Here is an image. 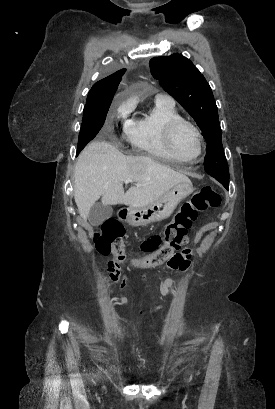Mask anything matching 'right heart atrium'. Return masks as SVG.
Returning a JSON list of instances; mask_svg holds the SVG:
<instances>
[{
    "instance_id": "right-heart-atrium-1",
    "label": "right heart atrium",
    "mask_w": 275,
    "mask_h": 409,
    "mask_svg": "<svg viewBox=\"0 0 275 409\" xmlns=\"http://www.w3.org/2000/svg\"><path fill=\"white\" fill-rule=\"evenodd\" d=\"M132 107L131 106H124L119 109L118 116L119 118L125 120L127 115L130 113ZM128 123V122H127ZM129 125V124H128Z\"/></svg>"
}]
</instances>
